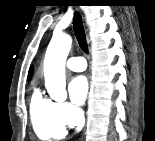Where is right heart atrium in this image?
<instances>
[{
    "mask_svg": "<svg viewBox=\"0 0 155 141\" xmlns=\"http://www.w3.org/2000/svg\"><path fill=\"white\" fill-rule=\"evenodd\" d=\"M56 112L58 119L65 126L76 125L82 119V112L68 102L56 103Z\"/></svg>",
    "mask_w": 155,
    "mask_h": 141,
    "instance_id": "1",
    "label": "right heart atrium"
}]
</instances>
